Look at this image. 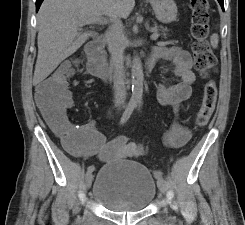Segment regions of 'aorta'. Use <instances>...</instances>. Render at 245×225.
Instances as JSON below:
<instances>
[{
  "label": "aorta",
  "instance_id": "1",
  "mask_svg": "<svg viewBox=\"0 0 245 225\" xmlns=\"http://www.w3.org/2000/svg\"><path fill=\"white\" fill-rule=\"evenodd\" d=\"M131 82H132V96L131 101L140 103L143 96V69L142 62L139 57H135L131 65Z\"/></svg>",
  "mask_w": 245,
  "mask_h": 225
}]
</instances>
